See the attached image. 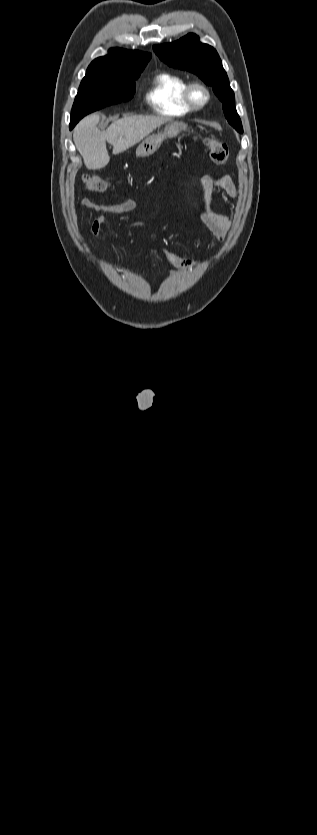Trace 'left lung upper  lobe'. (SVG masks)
I'll list each match as a JSON object with an SVG mask.
<instances>
[{
    "label": "left lung upper lobe",
    "mask_w": 317,
    "mask_h": 835,
    "mask_svg": "<svg viewBox=\"0 0 317 835\" xmlns=\"http://www.w3.org/2000/svg\"><path fill=\"white\" fill-rule=\"evenodd\" d=\"M153 50L168 65L192 72L207 85L212 86L214 93L223 103L228 122L239 133H243L241 120L235 108L234 92L221 59L212 46L201 43L195 34H188L174 43L154 46Z\"/></svg>",
    "instance_id": "left-lung-upper-lobe-1"
}]
</instances>
